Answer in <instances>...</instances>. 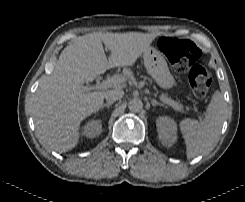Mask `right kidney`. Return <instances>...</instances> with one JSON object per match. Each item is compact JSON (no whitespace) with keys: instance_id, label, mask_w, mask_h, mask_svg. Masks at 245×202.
Instances as JSON below:
<instances>
[{"instance_id":"obj_1","label":"right kidney","mask_w":245,"mask_h":202,"mask_svg":"<svg viewBox=\"0 0 245 202\" xmlns=\"http://www.w3.org/2000/svg\"><path fill=\"white\" fill-rule=\"evenodd\" d=\"M102 132L101 120H91L86 123L82 134L87 138H94Z\"/></svg>"}]
</instances>
